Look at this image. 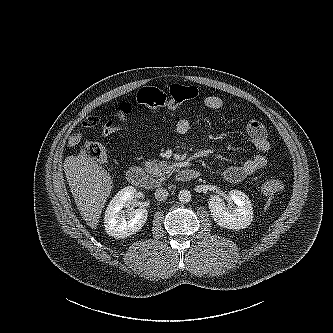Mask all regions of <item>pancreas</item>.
I'll return each instance as SVG.
<instances>
[{
	"label": "pancreas",
	"mask_w": 333,
	"mask_h": 333,
	"mask_svg": "<svg viewBox=\"0 0 333 333\" xmlns=\"http://www.w3.org/2000/svg\"><path fill=\"white\" fill-rule=\"evenodd\" d=\"M145 170L155 177H160V180H164L166 177L175 171V167L167 162L158 160H149L144 164Z\"/></svg>",
	"instance_id": "1"
}]
</instances>
